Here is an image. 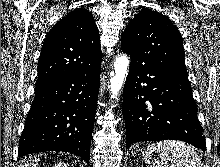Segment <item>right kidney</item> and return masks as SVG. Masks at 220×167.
Segmentation results:
<instances>
[{"mask_svg":"<svg viewBox=\"0 0 220 167\" xmlns=\"http://www.w3.org/2000/svg\"><path fill=\"white\" fill-rule=\"evenodd\" d=\"M53 167H69L68 164L64 163V162H59L57 164H55Z\"/></svg>","mask_w":220,"mask_h":167,"instance_id":"obj_1","label":"right kidney"}]
</instances>
